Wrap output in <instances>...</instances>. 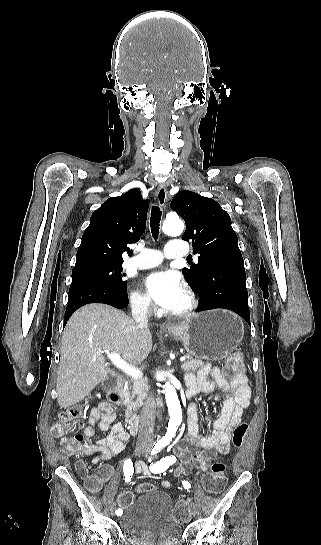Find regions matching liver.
Wrapping results in <instances>:
<instances>
[{
  "mask_svg": "<svg viewBox=\"0 0 321 545\" xmlns=\"http://www.w3.org/2000/svg\"><path fill=\"white\" fill-rule=\"evenodd\" d=\"M151 349L150 329L136 325L122 311L101 303L81 307L63 331L56 385L59 407L81 403L110 373L99 351L119 353L129 365H139Z\"/></svg>",
  "mask_w": 321,
  "mask_h": 545,
  "instance_id": "1",
  "label": "liver"
}]
</instances>
